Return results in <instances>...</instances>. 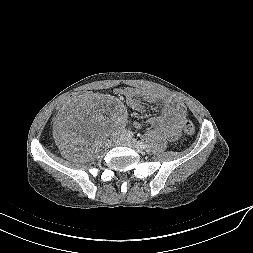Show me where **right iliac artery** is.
<instances>
[{"label": "right iliac artery", "mask_w": 253, "mask_h": 253, "mask_svg": "<svg viewBox=\"0 0 253 253\" xmlns=\"http://www.w3.org/2000/svg\"><path fill=\"white\" fill-rule=\"evenodd\" d=\"M125 135H126L127 137H133V133H132L131 131H126V132H125Z\"/></svg>", "instance_id": "1"}]
</instances>
